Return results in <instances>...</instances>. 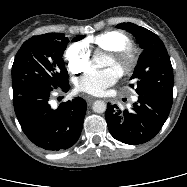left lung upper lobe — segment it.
Here are the masks:
<instances>
[{"instance_id": "5c2ea615", "label": "left lung upper lobe", "mask_w": 187, "mask_h": 187, "mask_svg": "<svg viewBox=\"0 0 187 187\" xmlns=\"http://www.w3.org/2000/svg\"><path fill=\"white\" fill-rule=\"evenodd\" d=\"M133 34L143 52L130 78L138 95H153L173 99V68L161 39L148 29L133 23L116 26Z\"/></svg>"}]
</instances>
